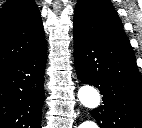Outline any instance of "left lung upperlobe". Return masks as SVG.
I'll list each match as a JSON object with an SVG mask.
<instances>
[{
    "label": "left lung upper lobe",
    "mask_w": 142,
    "mask_h": 128,
    "mask_svg": "<svg viewBox=\"0 0 142 128\" xmlns=\"http://www.w3.org/2000/svg\"><path fill=\"white\" fill-rule=\"evenodd\" d=\"M73 27L133 51L118 14L109 0H78Z\"/></svg>",
    "instance_id": "5c2ea615"
}]
</instances>
